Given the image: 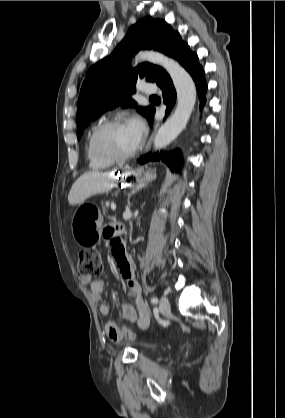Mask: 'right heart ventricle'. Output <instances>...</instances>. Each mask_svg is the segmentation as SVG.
Here are the masks:
<instances>
[{
  "instance_id": "1",
  "label": "right heart ventricle",
  "mask_w": 285,
  "mask_h": 418,
  "mask_svg": "<svg viewBox=\"0 0 285 418\" xmlns=\"http://www.w3.org/2000/svg\"><path fill=\"white\" fill-rule=\"evenodd\" d=\"M90 135L91 134L88 135L86 142H85V155H86V159L88 161L89 167L92 170H101V169H105L109 167L113 163L102 161L92 153L90 146H89Z\"/></svg>"
}]
</instances>
